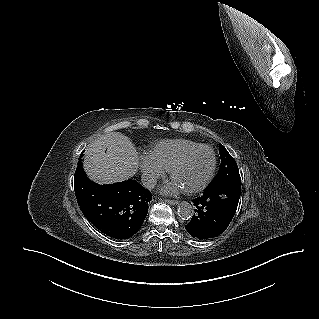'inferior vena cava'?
Listing matches in <instances>:
<instances>
[{"label":"inferior vena cava","instance_id":"602c4592","mask_svg":"<svg viewBox=\"0 0 319 319\" xmlns=\"http://www.w3.org/2000/svg\"><path fill=\"white\" fill-rule=\"evenodd\" d=\"M141 183L147 189H153L156 186L157 179L152 175H142Z\"/></svg>","mask_w":319,"mask_h":319}]
</instances>
